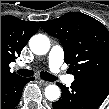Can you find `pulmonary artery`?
<instances>
[{
	"instance_id": "obj_1",
	"label": "pulmonary artery",
	"mask_w": 109,
	"mask_h": 109,
	"mask_svg": "<svg viewBox=\"0 0 109 109\" xmlns=\"http://www.w3.org/2000/svg\"><path fill=\"white\" fill-rule=\"evenodd\" d=\"M64 59V51L61 46L55 45L50 50L47 56V64L49 70L53 73L55 78L63 83L71 84L74 81V76L64 74L62 70V63Z\"/></svg>"
}]
</instances>
